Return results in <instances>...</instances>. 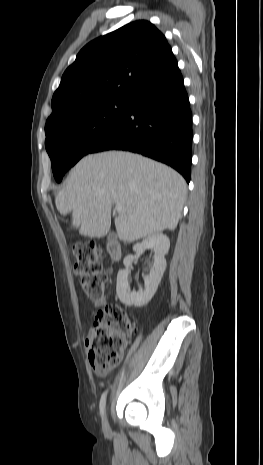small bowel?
I'll return each mask as SVG.
<instances>
[{
	"label": "small bowel",
	"instance_id": "obj_1",
	"mask_svg": "<svg viewBox=\"0 0 263 465\" xmlns=\"http://www.w3.org/2000/svg\"><path fill=\"white\" fill-rule=\"evenodd\" d=\"M104 302H105V299H104V298H100V299L94 300V303H95L96 306H100V305H102Z\"/></svg>",
	"mask_w": 263,
	"mask_h": 465
}]
</instances>
